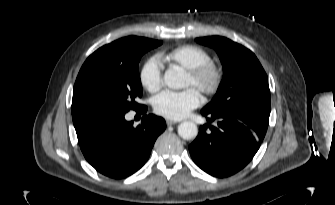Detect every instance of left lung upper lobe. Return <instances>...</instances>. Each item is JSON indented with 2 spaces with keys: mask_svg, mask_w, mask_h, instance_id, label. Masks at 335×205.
I'll return each mask as SVG.
<instances>
[{
  "mask_svg": "<svg viewBox=\"0 0 335 205\" xmlns=\"http://www.w3.org/2000/svg\"><path fill=\"white\" fill-rule=\"evenodd\" d=\"M195 40L214 48L223 66V79L217 93L202 111L246 112L269 120L268 78L254 53L225 37L210 36Z\"/></svg>",
  "mask_w": 335,
  "mask_h": 205,
  "instance_id": "obj_1",
  "label": "left lung upper lobe"
}]
</instances>
